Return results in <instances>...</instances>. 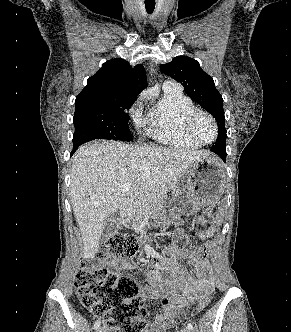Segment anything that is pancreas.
I'll list each match as a JSON object with an SVG mask.
<instances>
[{
	"mask_svg": "<svg viewBox=\"0 0 291 332\" xmlns=\"http://www.w3.org/2000/svg\"><path fill=\"white\" fill-rule=\"evenodd\" d=\"M167 195H156L153 197H147L143 204L140 207V215L139 218L136 220L138 222L142 221L145 215L149 213L157 212L166 202ZM133 227L139 229V224H133Z\"/></svg>",
	"mask_w": 291,
	"mask_h": 332,
	"instance_id": "cf45deb5",
	"label": "pancreas"
}]
</instances>
